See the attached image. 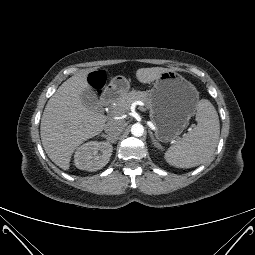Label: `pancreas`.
Wrapping results in <instances>:
<instances>
[{
  "mask_svg": "<svg viewBox=\"0 0 255 255\" xmlns=\"http://www.w3.org/2000/svg\"><path fill=\"white\" fill-rule=\"evenodd\" d=\"M137 100H140L145 104H148L147 93L144 91L132 90L127 94L123 95L121 98H119L112 106V108L115 111V113L123 114L130 108L131 104Z\"/></svg>",
  "mask_w": 255,
  "mask_h": 255,
  "instance_id": "cf45deb5",
  "label": "pancreas"
}]
</instances>
